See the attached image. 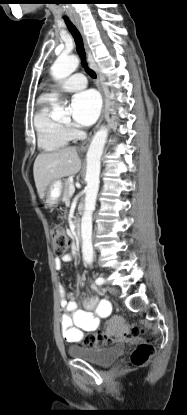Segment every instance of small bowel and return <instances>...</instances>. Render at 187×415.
Here are the masks:
<instances>
[{
    "label": "small bowel",
    "instance_id": "obj_1",
    "mask_svg": "<svg viewBox=\"0 0 187 415\" xmlns=\"http://www.w3.org/2000/svg\"><path fill=\"white\" fill-rule=\"evenodd\" d=\"M73 256L65 254L55 259V267L61 269L63 263L70 262ZM60 305L63 309L61 318V332L65 341L80 343L84 334L95 331L100 320L111 314V303L106 299H99L96 295H89L83 301L84 309H79L73 292L60 289ZM117 321L116 317L110 319V324Z\"/></svg>",
    "mask_w": 187,
    "mask_h": 415
}]
</instances>
